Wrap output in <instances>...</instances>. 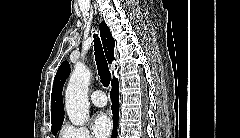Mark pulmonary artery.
Masks as SVG:
<instances>
[{
    "label": "pulmonary artery",
    "instance_id": "e3ab8cb5",
    "mask_svg": "<svg viewBox=\"0 0 240 138\" xmlns=\"http://www.w3.org/2000/svg\"><path fill=\"white\" fill-rule=\"evenodd\" d=\"M91 101L96 107H104L107 104L105 94L101 90H96L92 93Z\"/></svg>",
    "mask_w": 240,
    "mask_h": 138
}]
</instances>
